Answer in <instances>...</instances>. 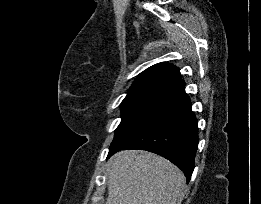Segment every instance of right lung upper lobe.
<instances>
[{
    "mask_svg": "<svg viewBox=\"0 0 261 204\" xmlns=\"http://www.w3.org/2000/svg\"><path fill=\"white\" fill-rule=\"evenodd\" d=\"M176 66L162 62L155 64L136 78L128 90V94L136 93H160L170 95L185 83L179 77Z\"/></svg>",
    "mask_w": 261,
    "mask_h": 204,
    "instance_id": "cb5924a9",
    "label": "right lung upper lobe"
}]
</instances>
